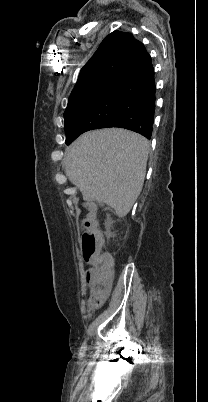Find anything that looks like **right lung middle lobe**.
Masks as SVG:
<instances>
[{"label": "right lung middle lobe", "mask_w": 208, "mask_h": 402, "mask_svg": "<svg viewBox=\"0 0 208 402\" xmlns=\"http://www.w3.org/2000/svg\"><path fill=\"white\" fill-rule=\"evenodd\" d=\"M120 97L117 86L111 81L72 96L64 113L65 123L96 115L116 113L120 110ZM78 136V134L66 136V144H70Z\"/></svg>", "instance_id": "dd1d6c3e"}]
</instances>
